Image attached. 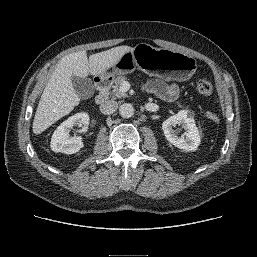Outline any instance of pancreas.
Segmentation results:
<instances>
[{
  "instance_id": "obj_1",
  "label": "pancreas",
  "mask_w": 257,
  "mask_h": 257,
  "mask_svg": "<svg viewBox=\"0 0 257 257\" xmlns=\"http://www.w3.org/2000/svg\"><path fill=\"white\" fill-rule=\"evenodd\" d=\"M126 80L124 76H119L115 79V84L112 86V91L110 95L112 97H117V98H122V97H127L126 92L122 91L120 89L121 84Z\"/></svg>"
}]
</instances>
